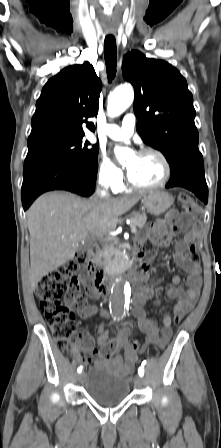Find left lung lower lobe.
Here are the masks:
<instances>
[{"label": "left lung lower lobe", "mask_w": 221, "mask_h": 448, "mask_svg": "<svg viewBox=\"0 0 221 448\" xmlns=\"http://www.w3.org/2000/svg\"><path fill=\"white\" fill-rule=\"evenodd\" d=\"M171 168L167 188L184 187L197 195L204 203L208 201V187L205 180L203 157L201 153L180 160Z\"/></svg>", "instance_id": "0a47b994"}]
</instances>
